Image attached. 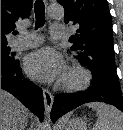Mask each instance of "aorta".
<instances>
[{
    "label": "aorta",
    "mask_w": 123,
    "mask_h": 130,
    "mask_svg": "<svg viewBox=\"0 0 123 130\" xmlns=\"http://www.w3.org/2000/svg\"><path fill=\"white\" fill-rule=\"evenodd\" d=\"M48 16L53 19H62L64 17V8L58 3L49 5L47 9ZM42 130H51L49 121H45Z\"/></svg>",
    "instance_id": "762f6f07"
}]
</instances>
